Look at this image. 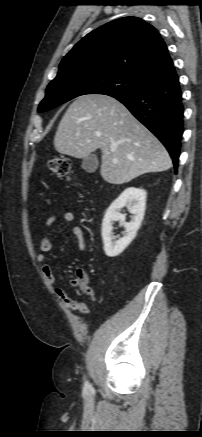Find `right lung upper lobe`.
I'll return each instance as SVG.
<instances>
[{
  "label": "right lung upper lobe",
  "mask_w": 202,
  "mask_h": 437,
  "mask_svg": "<svg viewBox=\"0 0 202 437\" xmlns=\"http://www.w3.org/2000/svg\"><path fill=\"white\" fill-rule=\"evenodd\" d=\"M172 64L164 40L152 25L138 17H124L80 40L61 61L57 76L83 70L117 72L145 81Z\"/></svg>",
  "instance_id": "1"
}]
</instances>
